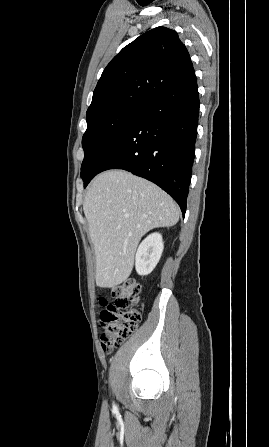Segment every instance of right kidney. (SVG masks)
Masks as SVG:
<instances>
[{
  "label": "right kidney",
  "instance_id": "right-kidney-1",
  "mask_svg": "<svg viewBox=\"0 0 269 447\" xmlns=\"http://www.w3.org/2000/svg\"><path fill=\"white\" fill-rule=\"evenodd\" d=\"M164 249V243L162 241L161 233H150L143 241H141L136 251L135 267L139 275H148L153 271L155 265H157L162 251Z\"/></svg>",
  "mask_w": 269,
  "mask_h": 447
}]
</instances>
